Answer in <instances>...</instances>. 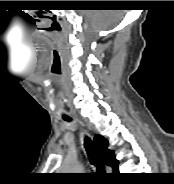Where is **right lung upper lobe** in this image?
Wrapping results in <instances>:
<instances>
[{
  "label": "right lung upper lobe",
  "mask_w": 174,
  "mask_h": 184,
  "mask_svg": "<svg viewBox=\"0 0 174 184\" xmlns=\"http://www.w3.org/2000/svg\"><path fill=\"white\" fill-rule=\"evenodd\" d=\"M94 144L104 164L112 167L114 172H116L118 169V160H116L114 152L107 148L108 141L101 135H96L94 137Z\"/></svg>",
  "instance_id": "obj_1"
}]
</instances>
